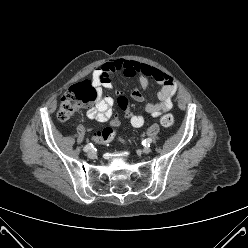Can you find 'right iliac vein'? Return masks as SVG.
<instances>
[{
	"mask_svg": "<svg viewBox=\"0 0 248 248\" xmlns=\"http://www.w3.org/2000/svg\"><path fill=\"white\" fill-rule=\"evenodd\" d=\"M87 156L90 158V159H95L96 158V153L93 152V151H89L87 153Z\"/></svg>",
	"mask_w": 248,
	"mask_h": 248,
	"instance_id": "1",
	"label": "right iliac vein"
}]
</instances>
